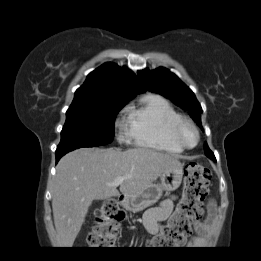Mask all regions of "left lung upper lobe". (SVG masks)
Masks as SVG:
<instances>
[{"label":"left lung upper lobe","mask_w":261,"mask_h":261,"mask_svg":"<svg viewBox=\"0 0 261 261\" xmlns=\"http://www.w3.org/2000/svg\"><path fill=\"white\" fill-rule=\"evenodd\" d=\"M138 78L147 90L161 94L182 109L187 110L197 125L202 128L199 116L203 112L202 108L194 93L175 74L160 67L153 71L148 69L139 71ZM204 151L207 157L216 161L206 143L204 144Z\"/></svg>","instance_id":"obj_1"}]
</instances>
